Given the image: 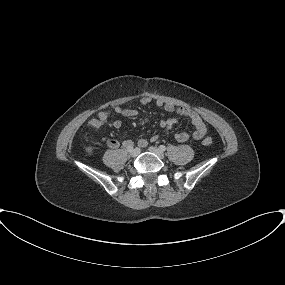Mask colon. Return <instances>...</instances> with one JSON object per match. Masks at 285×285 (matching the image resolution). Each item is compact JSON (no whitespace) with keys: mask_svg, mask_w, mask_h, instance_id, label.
Here are the masks:
<instances>
[{"mask_svg":"<svg viewBox=\"0 0 285 285\" xmlns=\"http://www.w3.org/2000/svg\"><path fill=\"white\" fill-rule=\"evenodd\" d=\"M203 144H204L205 146H210V145L212 144V139L209 138V137L205 138V139L203 140Z\"/></svg>","mask_w":285,"mask_h":285,"instance_id":"1","label":"colon"}]
</instances>
